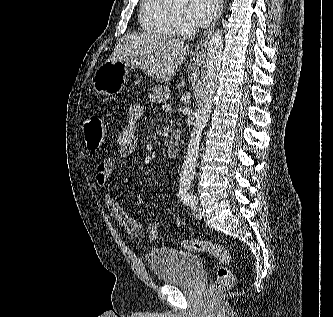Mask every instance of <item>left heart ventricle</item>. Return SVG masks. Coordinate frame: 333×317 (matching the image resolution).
<instances>
[{
	"instance_id": "1",
	"label": "left heart ventricle",
	"mask_w": 333,
	"mask_h": 317,
	"mask_svg": "<svg viewBox=\"0 0 333 317\" xmlns=\"http://www.w3.org/2000/svg\"><path fill=\"white\" fill-rule=\"evenodd\" d=\"M172 10L178 14V15H182L184 13V6L183 5H176L172 8Z\"/></svg>"
}]
</instances>
